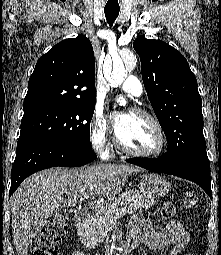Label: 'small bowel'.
<instances>
[{
    "label": "small bowel",
    "instance_id": "c3829d8e",
    "mask_svg": "<svg viewBox=\"0 0 221 255\" xmlns=\"http://www.w3.org/2000/svg\"><path fill=\"white\" fill-rule=\"evenodd\" d=\"M175 213L174 206L164 204L162 216L171 218ZM129 235L137 238L153 250H162L171 247L169 255H180L186 249L190 241L189 233L184 230L180 221L171 219L163 228H154L150 219H144L138 215L132 218L129 225ZM72 255H85L81 251H75Z\"/></svg>",
    "mask_w": 221,
    "mask_h": 255
}]
</instances>
